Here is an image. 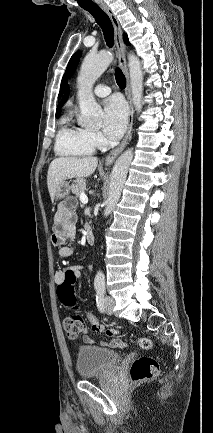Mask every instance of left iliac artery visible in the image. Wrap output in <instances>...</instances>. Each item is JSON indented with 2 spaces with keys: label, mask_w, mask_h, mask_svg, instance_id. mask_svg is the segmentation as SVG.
<instances>
[{
  "label": "left iliac artery",
  "mask_w": 213,
  "mask_h": 433,
  "mask_svg": "<svg viewBox=\"0 0 213 433\" xmlns=\"http://www.w3.org/2000/svg\"><path fill=\"white\" fill-rule=\"evenodd\" d=\"M104 296H105V288L104 287L97 288L96 301H97V307L100 312L104 311Z\"/></svg>",
  "instance_id": "left-iliac-artery-1"
}]
</instances>
